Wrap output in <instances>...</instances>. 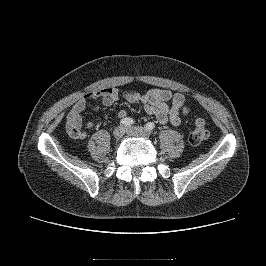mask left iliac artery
<instances>
[{
    "mask_svg": "<svg viewBox=\"0 0 266 266\" xmlns=\"http://www.w3.org/2000/svg\"><path fill=\"white\" fill-rule=\"evenodd\" d=\"M146 128H147L148 130H153V129L155 128V124H154L153 122H148V123L146 124Z\"/></svg>",
    "mask_w": 266,
    "mask_h": 266,
    "instance_id": "obj_1",
    "label": "left iliac artery"
}]
</instances>
